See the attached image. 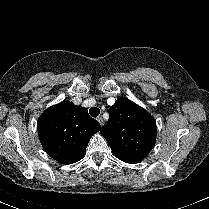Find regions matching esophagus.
Wrapping results in <instances>:
<instances>
[{"label": "esophagus", "mask_w": 209, "mask_h": 209, "mask_svg": "<svg viewBox=\"0 0 209 209\" xmlns=\"http://www.w3.org/2000/svg\"><path fill=\"white\" fill-rule=\"evenodd\" d=\"M97 121L99 122V124H100L101 126L104 125V121H103V118H102V117H98V118H97Z\"/></svg>", "instance_id": "1"}]
</instances>
